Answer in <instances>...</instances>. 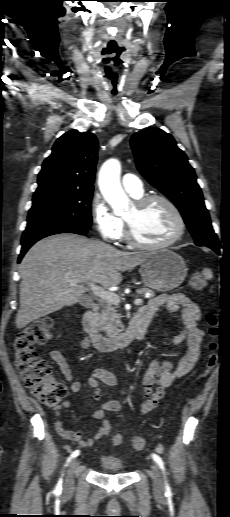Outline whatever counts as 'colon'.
<instances>
[{"label": "colon", "instance_id": "5ec220e1", "mask_svg": "<svg viewBox=\"0 0 230 517\" xmlns=\"http://www.w3.org/2000/svg\"><path fill=\"white\" fill-rule=\"evenodd\" d=\"M190 285L194 290L202 291L207 281L200 272H196L191 278ZM206 322L211 341L205 364L198 378L206 376L214 368L218 359L215 341L220 331L218 318L215 314L208 313ZM50 328L51 321L44 318L31 322L19 331L13 342V361L24 385L33 396L42 404L54 407L67 395V388L54 377L51 365L35 352L36 345L51 339ZM119 441L118 436L112 437V442ZM132 445L135 449L142 450L145 447V441L142 437L135 436L132 438Z\"/></svg>", "mask_w": 230, "mask_h": 517}]
</instances>
